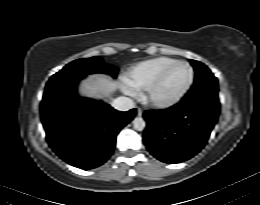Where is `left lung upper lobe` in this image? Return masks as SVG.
<instances>
[{
	"label": "left lung upper lobe",
	"mask_w": 260,
	"mask_h": 205,
	"mask_svg": "<svg viewBox=\"0 0 260 205\" xmlns=\"http://www.w3.org/2000/svg\"><path fill=\"white\" fill-rule=\"evenodd\" d=\"M196 72L194 85L183 99L205 100L219 106L218 81L211 71L201 62L190 60Z\"/></svg>",
	"instance_id": "obj_1"
}]
</instances>
